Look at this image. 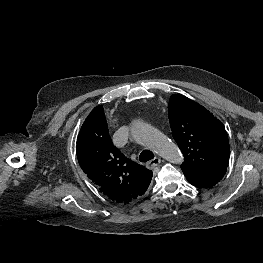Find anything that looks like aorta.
I'll use <instances>...</instances> for the list:
<instances>
[{"label":"aorta","mask_w":263,"mask_h":263,"mask_svg":"<svg viewBox=\"0 0 263 263\" xmlns=\"http://www.w3.org/2000/svg\"><path fill=\"white\" fill-rule=\"evenodd\" d=\"M131 131L136 141L151 147L166 160L172 163L183 161L184 158L180 150L151 125L142 121H135L132 124Z\"/></svg>","instance_id":"1"}]
</instances>
